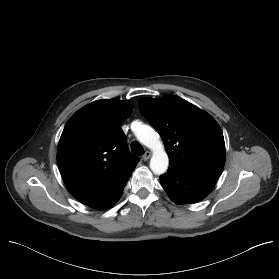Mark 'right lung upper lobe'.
Here are the masks:
<instances>
[{"instance_id":"right-lung-upper-lobe-1","label":"right lung upper lobe","mask_w":279,"mask_h":279,"mask_svg":"<svg viewBox=\"0 0 279 279\" xmlns=\"http://www.w3.org/2000/svg\"><path fill=\"white\" fill-rule=\"evenodd\" d=\"M132 110L130 101L103 99L84 106L66 123L57 163L77 200L104 194L129 179L139 159L127 151L120 126Z\"/></svg>"}]
</instances>
